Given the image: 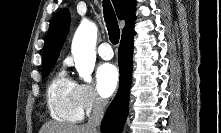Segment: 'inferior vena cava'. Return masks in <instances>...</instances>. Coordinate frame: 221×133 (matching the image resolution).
<instances>
[{
	"label": "inferior vena cava",
	"mask_w": 221,
	"mask_h": 133,
	"mask_svg": "<svg viewBox=\"0 0 221 133\" xmlns=\"http://www.w3.org/2000/svg\"><path fill=\"white\" fill-rule=\"evenodd\" d=\"M106 104H107L106 100L98 96L94 97L92 114L89 117L88 122L86 124V127L90 129L91 133H99L98 128L103 118L104 108Z\"/></svg>",
	"instance_id": "602c4592"
}]
</instances>
